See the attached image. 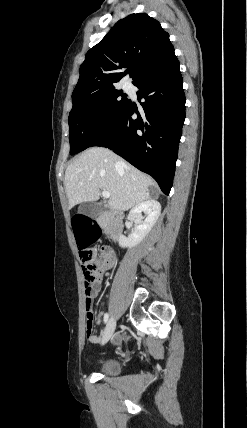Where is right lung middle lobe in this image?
Returning a JSON list of instances; mask_svg holds the SVG:
<instances>
[{
	"label": "right lung middle lobe",
	"instance_id": "1",
	"mask_svg": "<svg viewBox=\"0 0 247 428\" xmlns=\"http://www.w3.org/2000/svg\"><path fill=\"white\" fill-rule=\"evenodd\" d=\"M128 102L115 87L73 99L68 118L70 154L90 147L121 115Z\"/></svg>",
	"mask_w": 247,
	"mask_h": 428
}]
</instances>
